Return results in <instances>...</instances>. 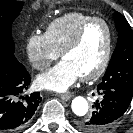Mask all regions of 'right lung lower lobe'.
Segmentation results:
<instances>
[{
  "label": "right lung lower lobe",
  "instance_id": "obj_1",
  "mask_svg": "<svg viewBox=\"0 0 133 133\" xmlns=\"http://www.w3.org/2000/svg\"><path fill=\"white\" fill-rule=\"evenodd\" d=\"M29 84L30 75L21 63L0 71V130H18L35 113L41 100L40 93L23 96Z\"/></svg>",
  "mask_w": 133,
  "mask_h": 133
}]
</instances>
